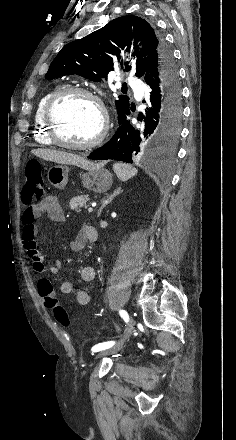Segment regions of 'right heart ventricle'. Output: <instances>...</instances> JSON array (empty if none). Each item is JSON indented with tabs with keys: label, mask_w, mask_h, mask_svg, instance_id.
Segmentation results:
<instances>
[{
	"label": "right heart ventricle",
	"mask_w": 236,
	"mask_h": 440,
	"mask_svg": "<svg viewBox=\"0 0 236 440\" xmlns=\"http://www.w3.org/2000/svg\"><path fill=\"white\" fill-rule=\"evenodd\" d=\"M57 90H59L58 86L53 88L52 90L48 91L47 93H45L38 101L36 108H35V111H34L33 138L38 144H41V145H45V146L54 145L52 140L49 138L47 131H46V128L44 126L43 112H44V108H45V105H46L48 99Z\"/></svg>",
	"instance_id": "obj_1"
}]
</instances>
